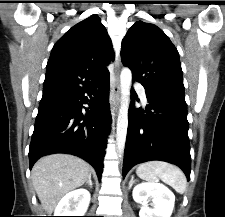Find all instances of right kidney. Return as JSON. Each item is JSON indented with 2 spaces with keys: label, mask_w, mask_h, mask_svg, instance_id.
Instances as JSON below:
<instances>
[{
  "label": "right kidney",
  "mask_w": 225,
  "mask_h": 217,
  "mask_svg": "<svg viewBox=\"0 0 225 217\" xmlns=\"http://www.w3.org/2000/svg\"><path fill=\"white\" fill-rule=\"evenodd\" d=\"M90 203V193L77 189L66 194L58 203L54 216H84Z\"/></svg>",
  "instance_id": "obj_1"
}]
</instances>
